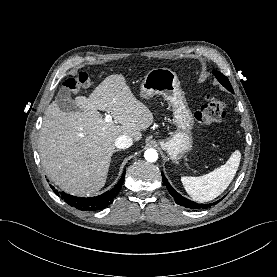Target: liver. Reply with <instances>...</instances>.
<instances>
[{
    "mask_svg": "<svg viewBox=\"0 0 277 277\" xmlns=\"http://www.w3.org/2000/svg\"><path fill=\"white\" fill-rule=\"evenodd\" d=\"M74 102L76 112L62 111L56 101L46 108L38 148L51 182L69 194L89 196L105 185L116 139L128 135L139 141L140 131L154 117L125 77L117 74L106 77L89 97L77 96ZM99 110L120 125L106 122Z\"/></svg>",
    "mask_w": 277,
    "mask_h": 277,
    "instance_id": "6515ba94",
    "label": "liver"
}]
</instances>
